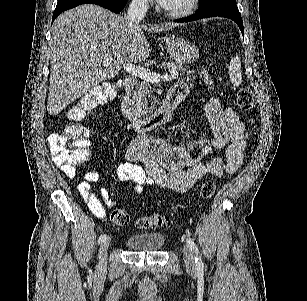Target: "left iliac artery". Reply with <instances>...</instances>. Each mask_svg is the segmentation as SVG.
<instances>
[{
  "label": "left iliac artery",
  "mask_w": 307,
  "mask_h": 301,
  "mask_svg": "<svg viewBox=\"0 0 307 301\" xmlns=\"http://www.w3.org/2000/svg\"><path fill=\"white\" fill-rule=\"evenodd\" d=\"M187 244H188V246L190 247V249H191V250L194 252V254H195L196 268H197L198 270H200V269L203 270L204 264H203V262H202V260H201V256H200V254H199V250H198L197 245L195 244V242H194L191 238L187 239Z\"/></svg>",
  "instance_id": "44dca946"
}]
</instances>
